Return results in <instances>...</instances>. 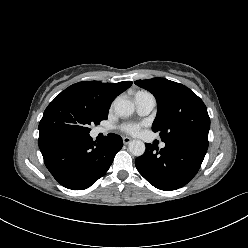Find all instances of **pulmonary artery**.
I'll return each mask as SVG.
<instances>
[{"label": "pulmonary artery", "instance_id": "e3ab8cb5", "mask_svg": "<svg viewBox=\"0 0 248 248\" xmlns=\"http://www.w3.org/2000/svg\"><path fill=\"white\" fill-rule=\"evenodd\" d=\"M135 104L140 115H147L154 108L156 101L152 94L148 92H138L135 95ZM160 147H165V144L162 143Z\"/></svg>", "mask_w": 248, "mask_h": 248}]
</instances>
